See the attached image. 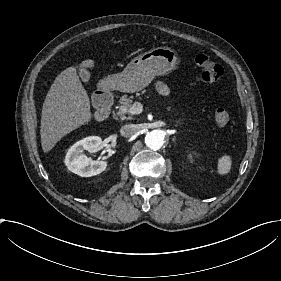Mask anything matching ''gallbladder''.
Returning <instances> with one entry per match:
<instances>
[{"mask_svg": "<svg viewBox=\"0 0 281 281\" xmlns=\"http://www.w3.org/2000/svg\"><path fill=\"white\" fill-rule=\"evenodd\" d=\"M77 70L80 68L78 65L75 67ZM80 77L82 78L83 81H86L89 79V73L87 71H80Z\"/></svg>", "mask_w": 281, "mask_h": 281, "instance_id": "obj_1", "label": "gallbladder"}]
</instances>
